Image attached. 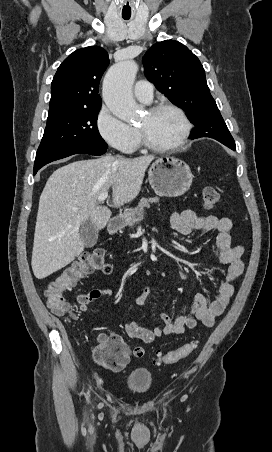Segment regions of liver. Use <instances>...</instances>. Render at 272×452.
<instances>
[{"mask_svg":"<svg viewBox=\"0 0 272 452\" xmlns=\"http://www.w3.org/2000/svg\"><path fill=\"white\" fill-rule=\"evenodd\" d=\"M154 156L79 160L52 173L40 196L32 251V270L43 279L70 264L84 250L82 224L103 229L111 211L98 206L101 193L112 188V201L122 206L135 199Z\"/></svg>","mask_w":272,"mask_h":452,"instance_id":"6515ba94","label":"liver"}]
</instances>
